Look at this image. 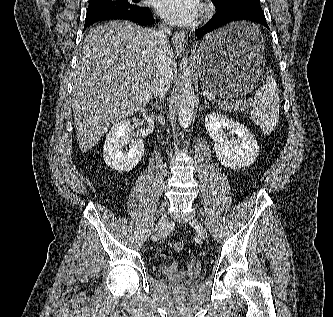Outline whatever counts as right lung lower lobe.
Wrapping results in <instances>:
<instances>
[{"label":"right lung lower lobe","mask_w":333,"mask_h":317,"mask_svg":"<svg viewBox=\"0 0 333 317\" xmlns=\"http://www.w3.org/2000/svg\"><path fill=\"white\" fill-rule=\"evenodd\" d=\"M103 20H126L143 26H151L154 23L152 13L148 8L139 10L120 11H103L93 14H86L84 29L97 21Z\"/></svg>","instance_id":"1"}]
</instances>
